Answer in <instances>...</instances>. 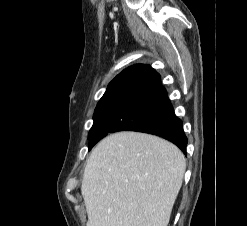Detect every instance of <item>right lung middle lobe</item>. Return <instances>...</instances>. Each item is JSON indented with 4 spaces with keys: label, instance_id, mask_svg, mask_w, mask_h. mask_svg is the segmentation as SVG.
<instances>
[{
    "label": "right lung middle lobe",
    "instance_id": "right-lung-middle-lobe-1",
    "mask_svg": "<svg viewBox=\"0 0 247 226\" xmlns=\"http://www.w3.org/2000/svg\"><path fill=\"white\" fill-rule=\"evenodd\" d=\"M118 77H119V75L116 76L114 78V80H112L110 82V84L108 85V88H107L106 92L104 93V95L102 96V98L100 99V101L98 102L97 107H96L95 112H94V116H93L94 123H93V126H92L91 130L89 131L88 137H91V135L93 133V129H94L95 125L97 124V122L99 121V119H100V117H101V115L103 113V110H104V108H105V106L107 104V100H108V98H109V96H110V94H111L114 86L117 83Z\"/></svg>",
    "mask_w": 247,
    "mask_h": 226
}]
</instances>
